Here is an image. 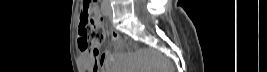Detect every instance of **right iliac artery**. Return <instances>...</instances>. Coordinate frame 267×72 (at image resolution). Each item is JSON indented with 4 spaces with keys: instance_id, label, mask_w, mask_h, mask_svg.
<instances>
[{
    "instance_id": "right-iliac-artery-1",
    "label": "right iliac artery",
    "mask_w": 267,
    "mask_h": 72,
    "mask_svg": "<svg viewBox=\"0 0 267 72\" xmlns=\"http://www.w3.org/2000/svg\"><path fill=\"white\" fill-rule=\"evenodd\" d=\"M101 11H102L104 16H107L109 14V5H108V3L102 2Z\"/></svg>"
}]
</instances>
